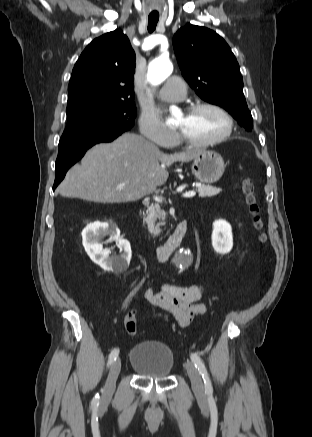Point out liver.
<instances>
[{"label":"liver","mask_w":312,"mask_h":437,"mask_svg":"<svg viewBox=\"0 0 312 437\" xmlns=\"http://www.w3.org/2000/svg\"><path fill=\"white\" fill-rule=\"evenodd\" d=\"M200 152L166 154L143 137L125 133L111 143L89 149L81 163L67 172L58 191L63 197L97 203L136 201L167 181L165 167L191 161Z\"/></svg>","instance_id":"liver-1"}]
</instances>
